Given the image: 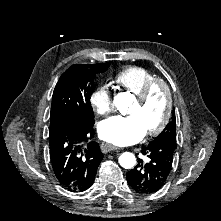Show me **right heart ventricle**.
Returning <instances> with one entry per match:
<instances>
[{
	"mask_svg": "<svg viewBox=\"0 0 221 221\" xmlns=\"http://www.w3.org/2000/svg\"><path fill=\"white\" fill-rule=\"evenodd\" d=\"M157 78L158 76L154 72L145 67L128 66L116 72L112 77V82L132 94L138 95L147 83Z\"/></svg>",
	"mask_w": 221,
	"mask_h": 221,
	"instance_id": "obj_1",
	"label": "right heart ventricle"
}]
</instances>
